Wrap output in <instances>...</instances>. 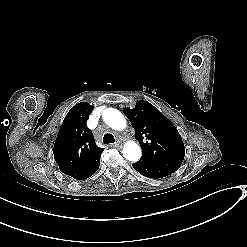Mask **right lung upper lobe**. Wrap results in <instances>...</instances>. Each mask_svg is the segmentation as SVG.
Listing matches in <instances>:
<instances>
[{
  "label": "right lung upper lobe",
  "instance_id": "obj_1",
  "mask_svg": "<svg viewBox=\"0 0 247 247\" xmlns=\"http://www.w3.org/2000/svg\"><path fill=\"white\" fill-rule=\"evenodd\" d=\"M93 106L76 104L66 115L54 144V159L60 170L74 179H85L100 164L104 148L94 141L86 122Z\"/></svg>",
  "mask_w": 247,
  "mask_h": 247
}]
</instances>
